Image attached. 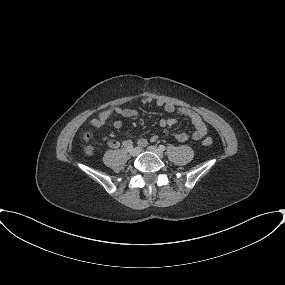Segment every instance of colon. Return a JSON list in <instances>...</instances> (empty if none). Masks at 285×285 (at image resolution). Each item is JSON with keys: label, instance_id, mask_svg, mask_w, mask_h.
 <instances>
[{"label": "colon", "instance_id": "5ec220e1", "mask_svg": "<svg viewBox=\"0 0 285 285\" xmlns=\"http://www.w3.org/2000/svg\"><path fill=\"white\" fill-rule=\"evenodd\" d=\"M85 137L88 138L89 135L86 134ZM203 144H204L205 146H210V145H212V139H211V138H205L204 141H203ZM85 152H86L87 154H90V153H91V148H89V147L86 148V149H85Z\"/></svg>", "mask_w": 285, "mask_h": 285}]
</instances>
